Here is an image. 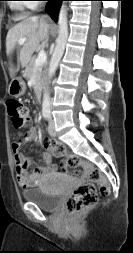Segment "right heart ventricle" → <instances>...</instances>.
Returning <instances> with one entry per match:
<instances>
[{"instance_id":"obj_1","label":"right heart ventricle","mask_w":133,"mask_h":253,"mask_svg":"<svg viewBox=\"0 0 133 253\" xmlns=\"http://www.w3.org/2000/svg\"><path fill=\"white\" fill-rule=\"evenodd\" d=\"M10 7L16 13L18 19L26 17L28 5L25 2L16 0L10 4Z\"/></svg>"}]
</instances>
